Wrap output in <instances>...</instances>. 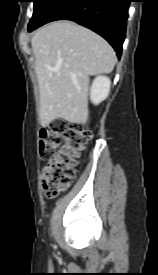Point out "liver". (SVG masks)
Returning <instances> with one entry per match:
<instances>
[{"instance_id": "liver-1", "label": "liver", "mask_w": 158, "mask_h": 275, "mask_svg": "<svg viewBox=\"0 0 158 275\" xmlns=\"http://www.w3.org/2000/svg\"><path fill=\"white\" fill-rule=\"evenodd\" d=\"M40 90V121L56 118L86 123L89 76L110 73L116 63L112 47L91 30L69 21L38 29L31 39ZM59 68L53 71L52 68Z\"/></svg>"}]
</instances>
